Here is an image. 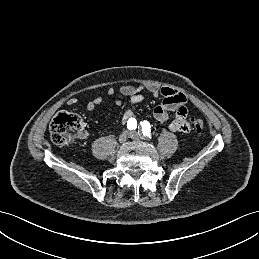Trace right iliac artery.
<instances>
[{"label":"right iliac artery","mask_w":259,"mask_h":259,"mask_svg":"<svg viewBox=\"0 0 259 259\" xmlns=\"http://www.w3.org/2000/svg\"><path fill=\"white\" fill-rule=\"evenodd\" d=\"M127 128L129 130H135L137 128V121L135 118H130L128 121H127Z\"/></svg>","instance_id":"1"}]
</instances>
